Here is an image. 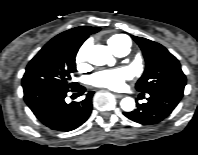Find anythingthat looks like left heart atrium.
Masks as SVG:
<instances>
[{"label":"left heart atrium","mask_w":198,"mask_h":155,"mask_svg":"<svg viewBox=\"0 0 198 155\" xmlns=\"http://www.w3.org/2000/svg\"><path fill=\"white\" fill-rule=\"evenodd\" d=\"M130 74L126 68L104 70L93 74L90 78L92 85L111 90H120Z\"/></svg>","instance_id":"left-heart-atrium-1"}]
</instances>
